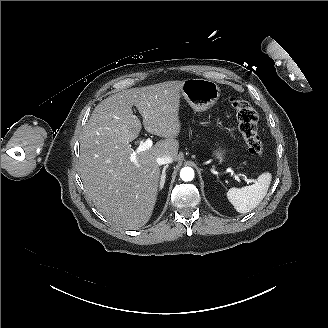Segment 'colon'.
Instances as JSON below:
<instances>
[{"label":"colon","mask_w":328,"mask_h":328,"mask_svg":"<svg viewBox=\"0 0 328 328\" xmlns=\"http://www.w3.org/2000/svg\"><path fill=\"white\" fill-rule=\"evenodd\" d=\"M230 104L235 110L238 129L246 142L248 151L252 155L261 157L264 148L258 134L256 110L248 101L236 97H230Z\"/></svg>","instance_id":"1"}]
</instances>
